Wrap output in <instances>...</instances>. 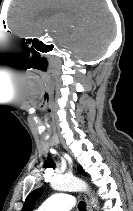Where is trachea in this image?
Here are the masks:
<instances>
[{
	"mask_svg": "<svg viewBox=\"0 0 133 211\" xmlns=\"http://www.w3.org/2000/svg\"><path fill=\"white\" fill-rule=\"evenodd\" d=\"M78 208L80 211H86V203L84 201H81L78 205Z\"/></svg>",
	"mask_w": 133,
	"mask_h": 211,
	"instance_id": "3493384b",
	"label": "trachea"
}]
</instances>
